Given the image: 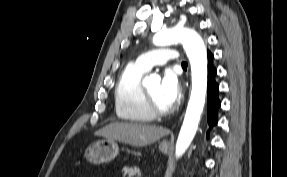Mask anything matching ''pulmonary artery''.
Wrapping results in <instances>:
<instances>
[{
    "label": "pulmonary artery",
    "mask_w": 287,
    "mask_h": 177,
    "mask_svg": "<svg viewBox=\"0 0 287 177\" xmlns=\"http://www.w3.org/2000/svg\"><path fill=\"white\" fill-rule=\"evenodd\" d=\"M167 62H172L175 66L181 64L180 55L169 46L149 50L135 61L139 67L146 71L150 70L153 66H161Z\"/></svg>",
    "instance_id": "pulmonary-artery-1"
}]
</instances>
